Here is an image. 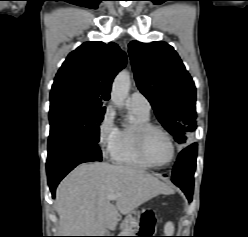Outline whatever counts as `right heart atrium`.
I'll list each match as a JSON object with an SVG mask.
<instances>
[{"label":"right heart atrium","instance_id":"right-heart-atrium-1","mask_svg":"<svg viewBox=\"0 0 248 237\" xmlns=\"http://www.w3.org/2000/svg\"><path fill=\"white\" fill-rule=\"evenodd\" d=\"M118 139V128L114 123L111 107H107L97 126V142L104 157L113 155Z\"/></svg>","mask_w":248,"mask_h":237}]
</instances>
